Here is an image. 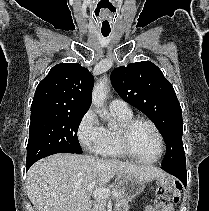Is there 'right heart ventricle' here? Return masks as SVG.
<instances>
[{
    "mask_svg": "<svg viewBox=\"0 0 209 211\" xmlns=\"http://www.w3.org/2000/svg\"><path fill=\"white\" fill-rule=\"evenodd\" d=\"M114 114L118 119V124L103 127V138L95 152L97 155L106 159L123 160L127 156L120 147L119 127L123 122L131 119L133 115L132 112H114Z\"/></svg>",
    "mask_w": 209,
    "mask_h": 211,
    "instance_id": "right-heart-ventricle-1",
    "label": "right heart ventricle"
}]
</instances>
